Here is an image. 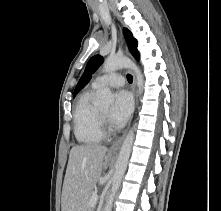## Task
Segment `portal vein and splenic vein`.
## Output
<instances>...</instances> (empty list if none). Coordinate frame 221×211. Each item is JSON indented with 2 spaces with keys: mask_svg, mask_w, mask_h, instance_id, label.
Wrapping results in <instances>:
<instances>
[{
  "mask_svg": "<svg viewBox=\"0 0 221 211\" xmlns=\"http://www.w3.org/2000/svg\"><path fill=\"white\" fill-rule=\"evenodd\" d=\"M98 201V195L97 193H94L90 199V204L91 206H94Z\"/></svg>",
  "mask_w": 221,
  "mask_h": 211,
  "instance_id": "1",
  "label": "portal vein and splenic vein"
}]
</instances>
